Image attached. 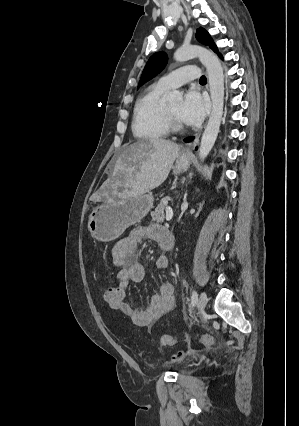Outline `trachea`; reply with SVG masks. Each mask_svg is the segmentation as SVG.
Instances as JSON below:
<instances>
[{
  "label": "trachea",
  "instance_id": "trachea-1",
  "mask_svg": "<svg viewBox=\"0 0 299 426\" xmlns=\"http://www.w3.org/2000/svg\"><path fill=\"white\" fill-rule=\"evenodd\" d=\"M199 81L201 83H206V77L205 76H201Z\"/></svg>",
  "mask_w": 299,
  "mask_h": 426
}]
</instances>
